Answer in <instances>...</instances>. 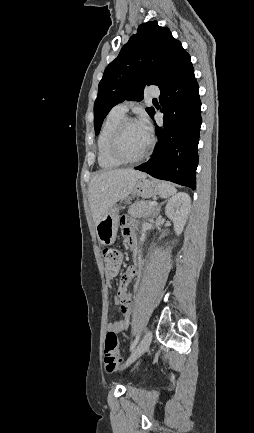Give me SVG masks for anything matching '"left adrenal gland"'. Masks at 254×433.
<instances>
[{
	"instance_id": "left-adrenal-gland-1",
	"label": "left adrenal gland",
	"mask_w": 254,
	"mask_h": 433,
	"mask_svg": "<svg viewBox=\"0 0 254 433\" xmlns=\"http://www.w3.org/2000/svg\"><path fill=\"white\" fill-rule=\"evenodd\" d=\"M164 202L160 203L157 208H156V213L158 214L160 212L161 206L163 205Z\"/></svg>"
}]
</instances>
